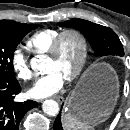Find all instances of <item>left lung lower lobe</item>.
Listing matches in <instances>:
<instances>
[{
    "label": "left lung lower lobe",
    "mask_w": 130,
    "mask_h": 130,
    "mask_svg": "<svg viewBox=\"0 0 130 130\" xmlns=\"http://www.w3.org/2000/svg\"><path fill=\"white\" fill-rule=\"evenodd\" d=\"M106 77L104 76H97V75H90L88 76L82 85V92L84 95H89L96 87L100 84L106 83ZM54 130H63L61 124V112L57 116L55 123H54Z\"/></svg>",
    "instance_id": "1"
}]
</instances>
